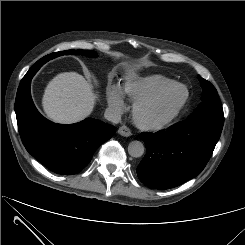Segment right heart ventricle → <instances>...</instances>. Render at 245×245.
<instances>
[{
    "label": "right heart ventricle",
    "mask_w": 245,
    "mask_h": 245,
    "mask_svg": "<svg viewBox=\"0 0 245 245\" xmlns=\"http://www.w3.org/2000/svg\"><path fill=\"white\" fill-rule=\"evenodd\" d=\"M172 83H174V81L168 77L162 75H149L125 81L121 90L123 95L130 101L135 102L142 97L160 91Z\"/></svg>",
    "instance_id": "1"
}]
</instances>
